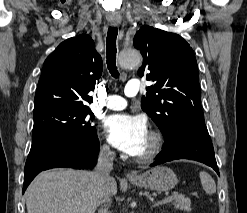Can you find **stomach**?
Returning <instances> with one entry per match:
<instances>
[{"mask_svg": "<svg viewBox=\"0 0 247 213\" xmlns=\"http://www.w3.org/2000/svg\"><path fill=\"white\" fill-rule=\"evenodd\" d=\"M130 182L136 186L156 191H169L177 184L175 173L168 167L157 166L142 173Z\"/></svg>", "mask_w": 247, "mask_h": 213, "instance_id": "1", "label": "stomach"}]
</instances>
